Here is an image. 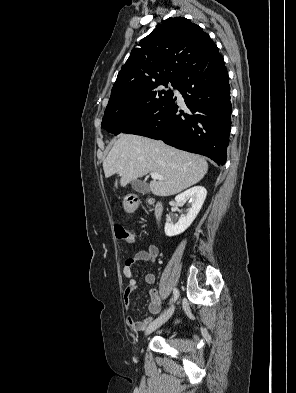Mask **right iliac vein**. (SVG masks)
I'll return each mask as SVG.
<instances>
[{
  "label": "right iliac vein",
  "mask_w": 296,
  "mask_h": 393,
  "mask_svg": "<svg viewBox=\"0 0 296 393\" xmlns=\"http://www.w3.org/2000/svg\"><path fill=\"white\" fill-rule=\"evenodd\" d=\"M173 313H174V306L170 307L164 314H162L160 317L155 319L146 329L145 335H149L154 330L162 326L165 322L169 320V318L172 316Z\"/></svg>",
  "instance_id": "1"
}]
</instances>
